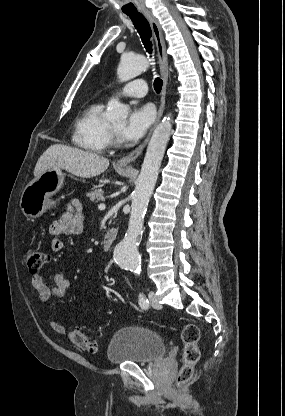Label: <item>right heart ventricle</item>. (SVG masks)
Returning a JSON list of instances; mask_svg holds the SVG:
<instances>
[{"instance_id": "obj_1", "label": "right heart ventricle", "mask_w": 285, "mask_h": 416, "mask_svg": "<svg viewBox=\"0 0 285 416\" xmlns=\"http://www.w3.org/2000/svg\"><path fill=\"white\" fill-rule=\"evenodd\" d=\"M102 104H89L77 118L72 135L73 144L90 154L103 153L110 144L108 122L102 117Z\"/></svg>"}]
</instances>
